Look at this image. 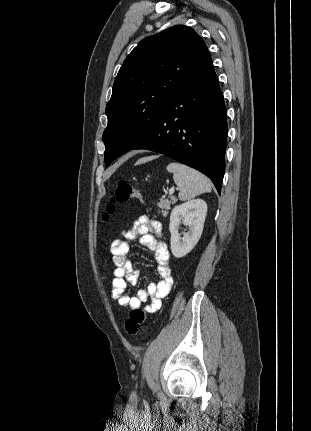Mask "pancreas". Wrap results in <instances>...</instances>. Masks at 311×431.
<instances>
[{"mask_svg": "<svg viewBox=\"0 0 311 431\" xmlns=\"http://www.w3.org/2000/svg\"><path fill=\"white\" fill-rule=\"evenodd\" d=\"M170 200H160V202H156L159 214H163L164 217L168 216V210H171V204H176L177 198L175 196H169Z\"/></svg>", "mask_w": 311, "mask_h": 431, "instance_id": "cf45deb5", "label": "pancreas"}]
</instances>
